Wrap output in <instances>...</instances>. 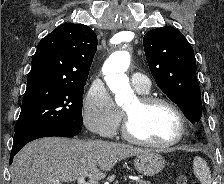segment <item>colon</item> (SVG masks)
Wrapping results in <instances>:
<instances>
[{
  "instance_id": "1",
  "label": "colon",
  "mask_w": 224,
  "mask_h": 184,
  "mask_svg": "<svg viewBox=\"0 0 224 184\" xmlns=\"http://www.w3.org/2000/svg\"><path fill=\"white\" fill-rule=\"evenodd\" d=\"M177 184H191V182L186 175L180 174L177 178Z\"/></svg>"
}]
</instances>
